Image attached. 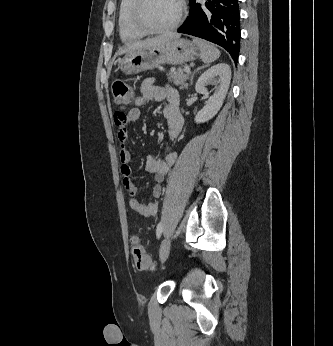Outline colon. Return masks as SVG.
<instances>
[{"instance_id": "obj_1", "label": "colon", "mask_w": 333, "mask_h": 346, "mask_svg": "<svg viewBox=\"0 0 333 346\" xmlns=\"http://www.w3.org/2000/svg\"><path fill=\"white\" fill-rule=\"evenodd\" d=\"M112 94L115 104L124 109L131 102V89L130 86L123 80H115L112 84ZM119 115L122 119L125 118V113L121 110L116 113L115 117ZM131 253L136 267L139 270L149 271L155 268L154 263L151 261L146 253V250L138 237H133Z\"/></svg>"}]
</instances>
